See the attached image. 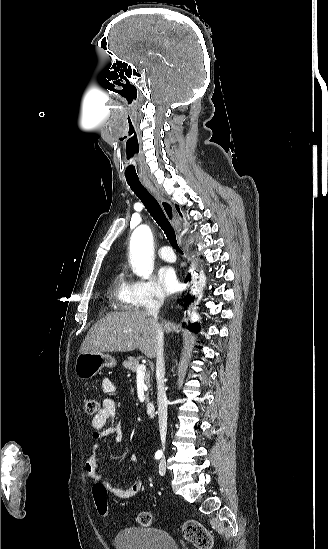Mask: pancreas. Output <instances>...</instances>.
<instances>
[{
    "label": "pancreas",
    "mask_w": 328,
    "mask_h": 549,
    "mask_svg": "<svg viewBox=\"0 0 328 549\" xmlns=\"http://www.w3.org/2000/svg\"><path fill=\"white\" fill-rule=\"evenodd\" d=\"M123 367H125V369H129V371H132V373H136L137 367H139V361H138V359H135V357H128L127 361H124ZM150 379H151V373H150V371H146L145 383H146L147 387H151ZM149 401H150V399H149V395L147 393V395L145 397V403H149Z\"/></svg>",
    "instance_id": "cf45deb5"
}]
</instances>
